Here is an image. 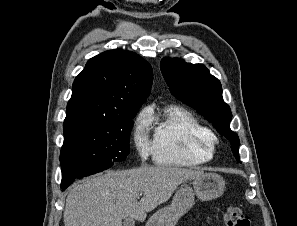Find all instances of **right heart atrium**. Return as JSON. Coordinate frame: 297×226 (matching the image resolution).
<instances>
[{
    "label": "right heart atrium",
    "mask_w": 297,
    "mask_h": 226,
    "mask_svg": "<svg viewBox=\"0 0 297 226\" xmlns=\"http://www.w3.org/2000/svg\"><path fill=\"white\" fill-rule=\"evenodd\" d=\"M150 119L149 114L140 112L135 120L133 130V141L135 148L142 159L153 154V143L149 136Z\"/></svg>",
    "instance_id": "right-heart-atrium-1"
}]
</instances>
